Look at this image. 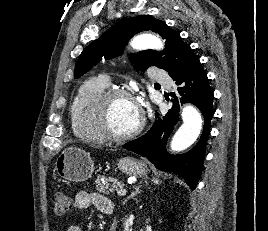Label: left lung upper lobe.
Masks as SVG:
<instances>
[{
  "mask_svg": "<svg viewBox=\"0 0 268 231\" xmlns=\"http://www.w3.org/2000/svg\"><path fill=\"white\" fill-rule=\"evenodd\" d=\"M144 30L159 33L166 40V48L162 52L145 50L132 55L131 62L136 68L144 71L156 66L172 76L182 72L197 57L182 41L179 32L172 30L164 21L149 15L136 16L120 20L82 51L76 63L75 78L89 71L102 57L109 59L119 55L127 41Z\"/></svg>",
  "mask_w": 268,
  "mask_h": 231,
  "instance_id": "left-lung-upper-lobe-1",
  "label": "left lung upper lobe"
}]
</instances>
